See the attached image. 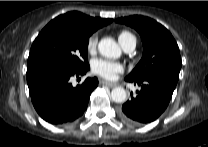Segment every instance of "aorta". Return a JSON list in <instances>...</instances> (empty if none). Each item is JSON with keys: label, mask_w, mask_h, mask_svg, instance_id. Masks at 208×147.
Here are the masks:
<instances>
[{"label": "aorta", "mask_w": 208, "mask_h": 147, "mask_svg": "<svg viewBox=\"0 0 208 147\" xmlns=\"http://www.w3.org/2000/svg\"><path fill=\"white\" fill-rule=\"evenodd\" d=\"M100 54L107 58H119L121 49L112 38H103L98 44ZM111 98L116 103H122L126 100V91L122 87H116L111 91Z\"/></svg>", "instance_id": "aorta-1"}]
</instances>
